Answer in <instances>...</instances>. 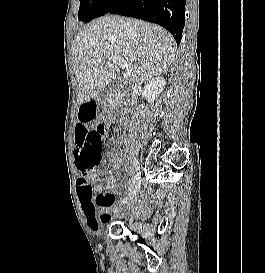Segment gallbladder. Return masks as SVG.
<instances>
[{"label":"gallbladder","instance_id":"obj_1","mask_svg":"<svg viewBox=\"0 0 265 273\" xmlns=\"http://www.w3.org/2000/svg\"><path fill=\"white\" fill-rule=\"evenodd\" d=\"M118 87V82L115 81L114 85H113V88H117Z\"/></svg>","mask_w":265,"mask_h":273}]
</instances>
